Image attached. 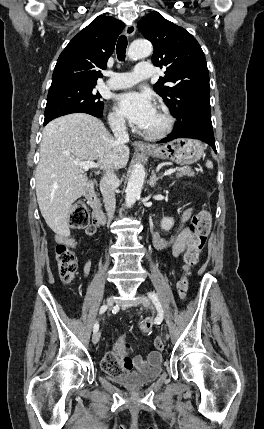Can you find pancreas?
Wrapping results in <instances>:
<instances>
[{"instance_id": "cf45deb5", "label": "pancreas", "mask_w": 264, "mask_h": 429, "mask_svg": "<svg viewBox=\"0 0 264 429\" xmlns=\"http://www.w3.org/2000/svg\"><path fill=\"white\" fill-rule=\"evenodd\" d=\"M182 176L194 177L195 173L190 167L184 166L176 173V178H180Z\"/></svg>"}]
</instances>
